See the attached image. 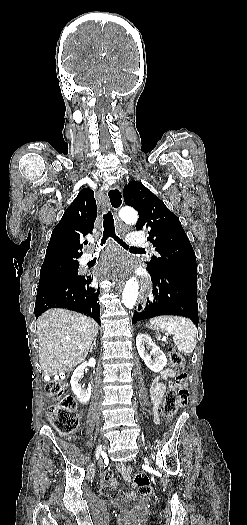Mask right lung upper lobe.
I'll list each match as a JSON object with an SVG mask.
<instances>
[{"label":"right lung upper lobe","mask_w":247,"mask_h":525,"mask_svg":"<svg viewBox=\"0 0 247 525\" xmlns=\"http://www.w3.org/2000/svg\"><path fill=\"white\" fill-rule=\"evenodd\" d=\"M97 215L91 189H82L54 228L41 270L56 262L77 259L82 254L80 239L92 233Z\"/></svg>","instance_id":"obj_1"}]
</instances>
